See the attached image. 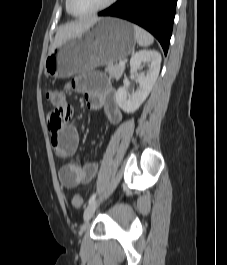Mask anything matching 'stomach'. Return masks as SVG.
<instances>
[{
    "label": "stomach",
    "instance_id": "obj_1",
    "mask_svg": "<svg viewBox=\"0 0 227 265\" xmlns=\"http://www.w3.org/2000/svg\"><path fill=\"white\" fill-rule=\"evenodd\" d=\"M136 44L134 27L117 18H101L80 36L50 50L44 71L54 78H67L97 66L124 60Z\"/></svg>",
    "mask_w": 227,
    "mask_h": 265
}]
</instances>
